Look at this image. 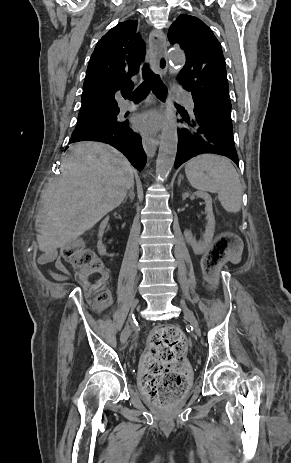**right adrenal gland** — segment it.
I'll list each match as a JSON object with an SVG mask.
<instances>
[{
    "label": "right adrenal gland",
    "instance_id": "1",
    "mask_svg": "<svg viewBox=\"0 0 291 463\" xmlns=\"http://www.w3.org/2000/svg\"><path fill=\"white\" fill-rule=\"evenodd\" d=\"M135 194H134V185L131 186L129 193L126 195L123 203L127 201L128 198H130L132 201L134 200Z\"/></svg>",
    "mask_w": 291,
    "mask_h": 463
}]
</instances>
